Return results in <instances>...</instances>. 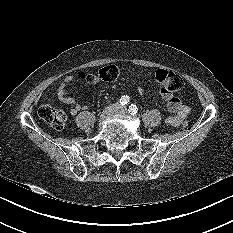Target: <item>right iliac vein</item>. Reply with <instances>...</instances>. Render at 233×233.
I'll return each mask as SVG.
<instances>
[{
  "mask_svg": "<svg viewBox=\"0 0 233 233\" xmlns=\"http://www.w3.org/2000/svg\"><path fill=\"white\" fill-rule=\"evenodd\" d=\"M117 110H118V106L117 105H111V106H108L107 108H105L103 110L101 116H100L99 126H101L106 119H108L114 113H116Z\"/></svg>",
  "mask_w": 233,
  "mask_h": 233,
  "instance_id": "63e3f726",
  "label": "right iliac vein"
}]
</instances>
